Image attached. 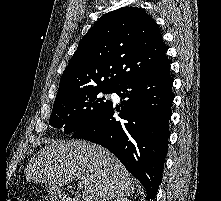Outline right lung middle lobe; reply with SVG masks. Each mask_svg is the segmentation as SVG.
I'll return each instance as SVG.
<instances>
[{"mask_svg": "<svg viewBox=\"0 0 221 201\" xmlns=\"http://www.w3.org/2000/svg\"><path fill=\"white\" fill-rule=\"evenodd\" d=\"M113 89L94 88L55 99L49 124L64 128L66 134L74 133L100 116L111 104L103 94Z\"/></svg>", "mask_w": 221, "mask_h": 201, "instance_id": "1", "label": "right lung middle lobe"}]
</instances>
